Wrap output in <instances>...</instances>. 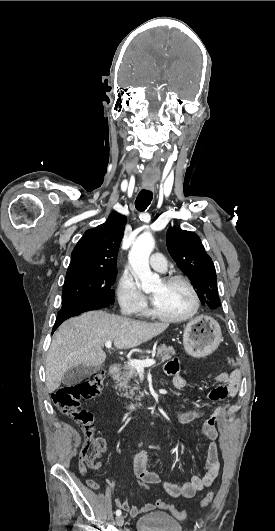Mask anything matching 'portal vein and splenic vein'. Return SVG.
Listing matches in <instances>:
<instances>
[{
  "instance_id": "obj_1",
  "label": "portal vein and splenic vein",
  "mask_w": 275,
  "mask_h": 531,
  "mask_svg": "<svg viewBox=\"0 0 275 531\" xmlns=\"http://www.w3.org/2000/svg\"><path fill=\"white\" fill-rule=\"evenodd\" d=\"M106 349H111L112 347V341H106L105 343ZM156 361L154 359H145V361H137V359H129L128 365H132V367H135V369H144V367H152V365H155Z\"/></svg>"
}]
</instances>
